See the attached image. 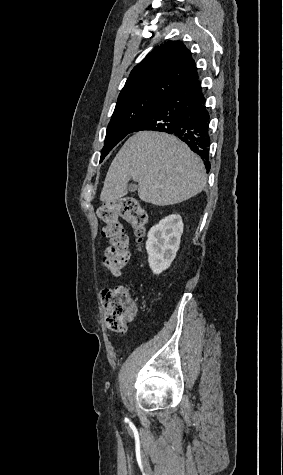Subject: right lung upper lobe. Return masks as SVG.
Wrapping results in <instances>:
<instances>
[{
  "label": "right lung upper lobe",
  "instance_id": "1",
  "mask_svg": "<svg viewBox=\"0 0 283 475\" xmlns=\"http://www.w3.org/2000/svg\"><path fill=\"white\" fill-rule=\"evenodd\" d=\"M197 78L190 51L181 41H168L133 68L117 102L159 89L174 90Z\"/></svg>",
  "mask_w": 283,
  "mask_h": 475
}]
</instances>
